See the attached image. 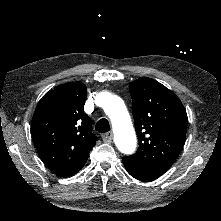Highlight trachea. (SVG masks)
<instances>
[{"instance_id":"1","label":"trachea","mask_w":221,"mask_h":221,"mask_svg":"<svg viewBox=\"0 0 221 221\" xmlns=\"http://www.w3.org/2000/svg\"><path fill=\"white\" fill-rule=\"evenodd\" d=\"M95 129L101 133L108 132L110 130V123L106 118H102L96 123Z\"/></svg>"}]
</instances>
